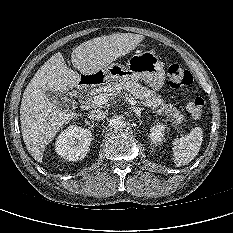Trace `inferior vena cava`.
Returning <instances> with one entry per match:
<instances>
[{"instance_id": "1", "label": "inferior vena cava", "mask_w": 233, "mask_h": 233, "mask_svg": "<svg viewBox=\"0 0 233 233\" xmlns=\"http://www.w3.org/2000/svg\"><path fill=\"white\" fill-rule=\"evenodd\" d=\"M88 117L92 120L100 121V120L105 119L106 112L100 109H94V110L89 111Z\"/></svg>"}]
</instances>
